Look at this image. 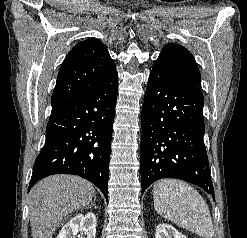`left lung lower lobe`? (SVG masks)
I'll use <instances>...</instances> for the list:
<instances>
[{"mask_svg": "<svg viewBox=\"0 0 247 238\" xmlns=\"http://www.w3.org/2000/svg\"><path fill=\"white\" fill-rule=\"evenodd\" d=\"M203 105L198 85L155 62L142 108V192L159 179L176 178L214 196L203 141Z\"/></svg>", "mask_w": 247, "mask_h": 238, "instance_id": "1", "label": "left lung lower lobe"}]
</instances>
